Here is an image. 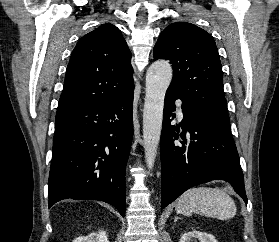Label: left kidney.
<instances>
[{"label":"left kidney","mask_w":279,"mask_h":242,"mask_svg":"<svg viewBox=\"0 0 279 242\" xmlns=\"http://www.w3.org/2000/svg\"><path fill=\"white\" fill-rule=\"evenodd\" d=\"M193 238H197L199 242H218L211 234L201 231H190L181 236L180 242H191Z\"/></svg>","instance_id":"obj_1"}]
</instances>
